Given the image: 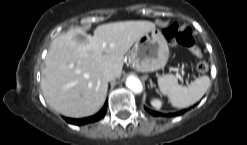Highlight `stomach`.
Wrapping results in <instances>:
<instances>
[{
	"instance_id": "stomach-1",
	"label": "stomach",
	"mask_w": 247,
	"mask_h": 145,
	"mask_svg": "<svg viewBox=\"0 0 247 145\" xmlns=\"http://www.w3.org/2000/svg\"><path fill=\"white\" fill-rule=\"evenodd\" d=\"M169 48L162 32L156 28L144 33L130 51L134 68L140 72H153L164 68Z\"/></svg>"
}]
</instances>
